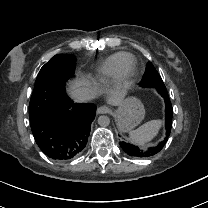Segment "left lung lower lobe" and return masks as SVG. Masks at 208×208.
<instances>
[{"label":"left lung lower lobe","instance_id":"0a47b994","mask_svg":"<svg viewBox=\"0 0 208 208\" xmlns=\"http://www.w3.org/2000/svg\"><path fill=\"white\" fill-rule=\"evenodd\" d=\"M165 100V127H166V137L159 142L157 145L147 148V149H142L137 146H134L133 144L126 142V141H121L120 146L121 148L131 157L135 158H148L151 157L155 154H157L159 151L162 150L164 145L166 144L168 140V136L170 135L171 132V124H172V105L169 100L168 96H163Z\"/></svg>","mask_w":208,"mask_h":208}]
</instances>
